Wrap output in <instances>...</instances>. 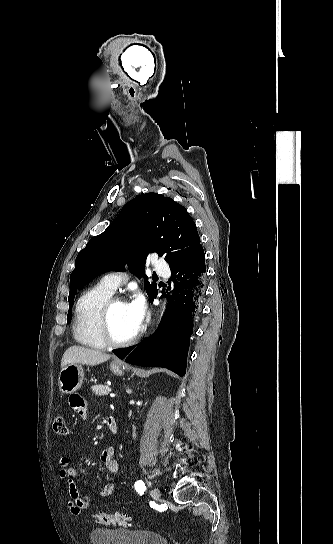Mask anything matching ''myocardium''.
Instances as JSON below:
<instances>
[{
    "label": "myocardium",
    "instance_id": "1",
    "mask_svg": "<svg viewBox=\"0 0 333 544\" xmlns=\"http://www.w3.org/2000/svg\"><path fill=\"white\" fill-rule=\"evenodd\" d=\"M117 303H125V300L119 296H112L103 305L99 318V329L101 337L106 345L112 347H124L134 343L138 339L140 330L138 329L135 334L124 340L116 339L113 336L110 327V313L114 305Z\"/></svg>",
    "mask_w": 333,
    "mask_h": 544
}]
</instances>
